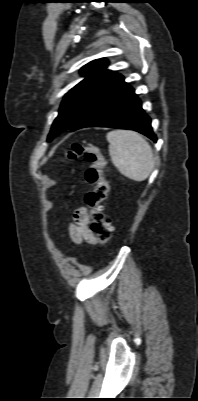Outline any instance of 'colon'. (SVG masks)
Listing matches in <instances>:
<instances>
[{
  "instance_id": "5ec220e1",
  "label": "colon",
  "mask_w": 198,
  "mask_h": 401,
  "mask_svg": "<svg viewBox=\"0 0 198 401\" xmlns=\"http://www.w3.org/2000/svg\"><path fill=\"white\" fill-rule=\"evenodd\" d=\"M68 158H84L89 164L85 171V180L91 186V190L85 196V203L89 209L92 231L97 241L105 245L112 236L111 224L105 214L110 187L104 173V161L100 148L96 145L73 143L68 152Z\"/></svg>"
}]
</instances>
